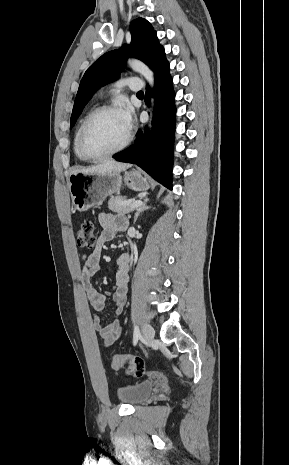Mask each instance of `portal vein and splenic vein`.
<instances>
[{
  "label": "portal vein and splenic vein",
  "instance_id": "obj_1",
  "mask_svg": "<svg viewBox=\"0 0 289 465\" xmlns=\"http://www.w3.org/2000/svg\"><path fill=\"white\" fill-rule=\"evenodd\" d=\"M142 204V201L141 200H136V201H132L131 203V206L132 207H138Z\"/></svg>",
  "mask_w": 289,
  "mask_h": 465
}]
</instances>
